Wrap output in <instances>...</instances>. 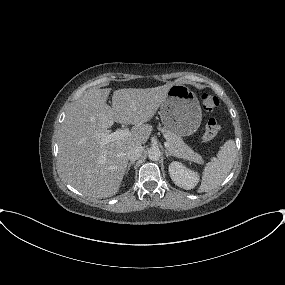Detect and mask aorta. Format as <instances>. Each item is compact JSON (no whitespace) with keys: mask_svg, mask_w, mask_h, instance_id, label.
I'll return each instance as SVG.
<instances>
[{"mask_svg":"<svg viewBox=\"0 0 285 285\" xmlns=\"http://www.w3.org/2000/svg\"><path fill=\"white\" fill-rule=\"evenodd\" d=\"M161 157V151L159 148H150L148 150V158L152 161H158Z\"/></svg>","mask_w":285,"mask_h":285,"instance_id":"aorta-1","label":"aorta"}]
</instances>
